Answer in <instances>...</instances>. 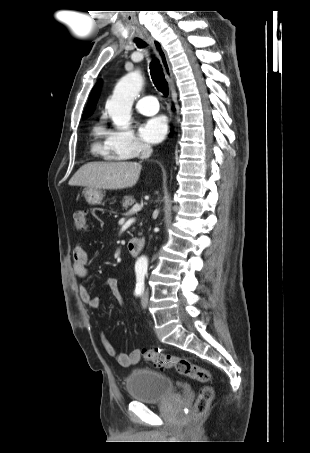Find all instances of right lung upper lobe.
Wrapping results in <instances>:
<instances>
[{"mask_svg": "<svg viewBox=\"0 0 310 453\" xmlns=\"http://www.w3.org/2000/svg\"><path fill=\"white\" fill-rule=\"evenodd\" d=\"M100 88H101V82L99 81L91 91V94H90V97L88 100V105L83 113L82 119H85L92 114L94 107L98 100Z\"/></svg>", "mask_w": 310, "mask_h": 453, "instance_id": "right-lung-upper-lobe-1", "label": "right lung upper lobe"}]
</instances>
